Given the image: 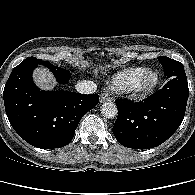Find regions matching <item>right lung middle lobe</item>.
<instances>
[{"label": "right lung middle lobe", "mask_w": 195, "mask_h": 195, "mask_svg": "<svg viewBox=\"0 0 195 195\" xmlns=\"http://www.w3.org/2000/svg\"><path fill=\"white\" fill-rule=\"evenodd\" d=\"M36 63L43 64L44 66L49 68L53 72V74L55 75V77L59 83H66L71 77V73L69 70L55 66V65L51 64L50 62H43L40 59H36Z\"/></svg>", "instance_id": "dd1d6c3e"}]
</instances>
